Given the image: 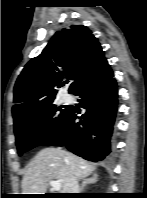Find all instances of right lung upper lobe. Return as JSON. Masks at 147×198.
Masks as SVG:
<instances>
[{"instance_id":"right-lung-upper-lobe-1","label":"right lung upper lobe","mask_w":147,"mask_h":198,"mask_svg":"<svg viewBox=\"0 0 147 198\" xmlns=\"http://www.w3.org/2000/svg\"><path fill=\"white\" fill-rule=\"evenodd\" d=\"M105 61L99 42L87 27L71 25L56 32L42 53L26 64L16 81L14 122L53 103L56 87L64 77L71 80L69 93L73 94Z\"/></svg>"}]
</instances>
